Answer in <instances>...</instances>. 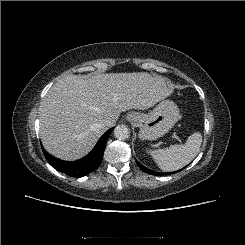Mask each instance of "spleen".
<instances>
[{
    "mask_svg": "<svg viewBox=\"0 0 245 245\" xmlns=\"http://www.w3.org/2000/svg\"><path fill=\"white\" fill-rule=\"evenodd\" d=\"M201 143V133L195 132L183 145H171L166 149L149 151V154L161 170L175 171L189 164L197 156Z\"/></svg>",
    "mask_w": 245,
    "mask_h": 245,
    "instance_id": "spleen-1",
    "label": "spleen"
}]
</instances>
